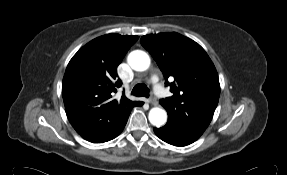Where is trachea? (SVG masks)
<instances>
[{
	"mask_svg": "<svg viewBox=\"0 0 287 175\" xmlns=\"http://www.w3.org/2000/svg\"><path fill=\"white\" fill-rule=\"evenodd\" d=\"M136 97H149V89L145 84H136L131 92Z\"/></svg>",
	"mask_w": 287,
	"mask_h": 175,
	"instance_id": "obj_1",
	"label": "trachea"
}]
</instances>
